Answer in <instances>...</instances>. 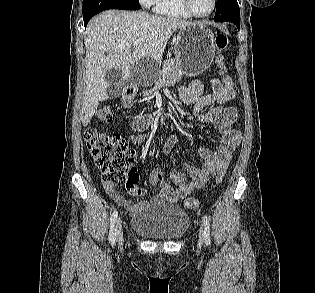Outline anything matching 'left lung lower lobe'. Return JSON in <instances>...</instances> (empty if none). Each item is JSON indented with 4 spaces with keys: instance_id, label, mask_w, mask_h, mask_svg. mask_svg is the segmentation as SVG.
<instances>
[{
    "instance_id": "1",
    "label": "left lung lower lobe",
    "mask_w": 315,
    "mask_h": 293,
    "mask_svg": "<svg viewBox=\"0 0 315 293\" xmlns=\"http://www.w3.org/2000/svg\"><path fill=\"white\" fill-rule=\"evenodd\" d=\"M237 27H238V29H239V27H240V21H236V22H233Z\"/></svg>"
}]
</instances>
